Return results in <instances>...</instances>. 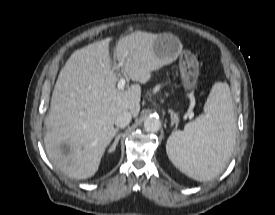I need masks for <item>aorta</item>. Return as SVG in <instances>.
I'll list each match as a JSON object with an SVG mask.
<instances>
[{"label":"aorta","instance_id":"obj_1","mask_svg":"<svg viewBox=\"0 0 275 215\" xmlns=\"http://www.w3.org/2000/svg\"><path fill=\"white\" fill-rule=\"evenodd\" d=\"M161 127V122L157 116H149L144 120V129L147 132H157Z\"/></svg>","mask_w":275,"mask_h":215}]
</instances>
